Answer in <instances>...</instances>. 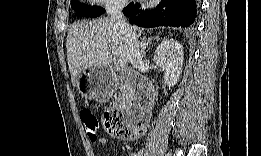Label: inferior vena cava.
I'll return each instance as SVG.
<instances>
[{
	"label": "inferior vena cava",
	"instance_id": "inferior-vena-cava-1",
	"mask_svg": "<svg viewBox=\"0 0 261 156\" xmlns=\"http://www.w3.org/2000/svg\"><path fill=\"white\" fill-rule=\"evenodd\" d=\"M125 1L115 0L108 4L107 12L110 15V20L113 25L119 29L121 34L125 37L127 48H128V56L129 60L134 68H139L142 66L143 61L139 51V43L136 39V36L126 22L123 16V8L125 7Z\"/></svg>",
	"mask_w": 261,
	"mask_h": 156
}]
</instances>
